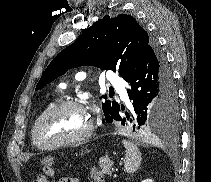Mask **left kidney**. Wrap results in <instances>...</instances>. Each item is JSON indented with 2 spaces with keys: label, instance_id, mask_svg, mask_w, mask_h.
I'll list each match as a JSON object with an SVG mask.
<instances>
[{
  "label": "left kidney",
  "instance_id": "left-kidney-1",
  "mask_svg": "<svg viewBox=\"0 0 211 182\" xmlns=\"http://www.w3.org/2000/svg\"><path fill=\"white\" fill-rule=\"evenodd\" d=\"M141 182H153V180L152 179H145V180H143Z\"/></svg>",
  "mask_w": 211,
  "mask_h": 182
}]
</instances>
